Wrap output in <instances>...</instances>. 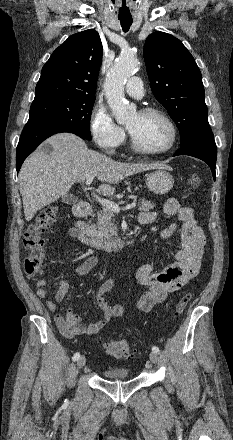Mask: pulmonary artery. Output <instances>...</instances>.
<instances>
[{"label":"pulmonary artery","mask_w":233,"mask_h":440,"mask_svg":"<svg viewBox=\"0 0 233 440\" xmlns=\"http://www.w3.org/2000/svg\"><path fill=\"white\" fill-rule=\"evenodd\" d=\"M125 91L134 98H142L144 95V89L141 78L131 77L125 85Z\"/></svg>","instance_id":"e3ab8cb5"}]
</instances>
